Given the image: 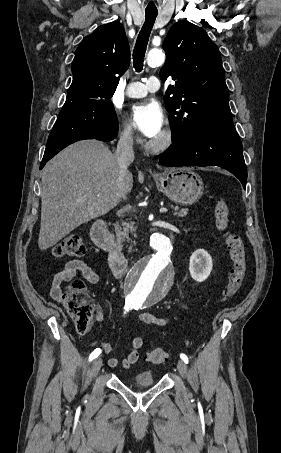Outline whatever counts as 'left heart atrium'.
<instances>
[{
    "label": "left heart atrium",
    "instance_id": "obj_1",
    "mask_svg": "<svg viewBox=\"0 0 281 453\" xmlns=\"http://www.w3.org/2000/svg\"><path fill=\"white\" fill-rule=\"evenodd\" d=\"M131 119L139 131L148 138L158 134L164 126L163 109L155 101H146L134 106Z\"/></svg>",
    "mask_w": 281,
    "mask_h": 453
}]
</instances>
